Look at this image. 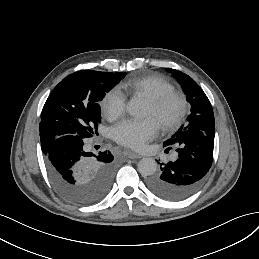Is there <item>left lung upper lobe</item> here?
<instances>
[{
    "label": "left lung upper lobe",
    "mask_w": 259,
    "mask_h": 259,
    "mask_svg": "<svg viewBox=\"0 0 259 259\" xmlns=\"http://www.w3.org/2000/svg\"><path fill=\"white\" fill-rule=\"evenodd\" d=\"M168 71L174 75L186 94L187 101L191 105V114L187 118L188 124L181 126L180 129L163 144L165 146H176L182 133L186 130L210 131L211 133L209 135H214V114L206 94L190 76L171 68H168Z\"/></svg>",
    "instance_id": "1"
}]
</instances>
